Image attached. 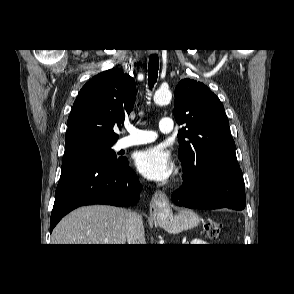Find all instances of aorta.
<instances>
[{"label":"aorta","instance_id":"obj_1","mask_svg":"<svg viewBox=\"0 0 294 294\" xmlns=\"http://www.w3.org/2000/svg\"><path fill=\"white\" fill-rule=\"evenodd\" d=\"M172 99V93L168 89H158L153 97L154 102L157 105L168 104Z\"/></svg>","mask_w":294,"mask_h":294}]
</instances>
